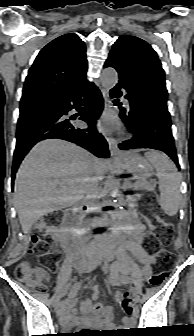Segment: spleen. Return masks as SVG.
<instances>
[{"label":"spleen","instance_id":"spleen-1","mask_svg":"<svg viewBox=\"0 0 194 336\" xmlns=\"http://www.w3.org/2000/svg\"><path fill=\"white\" fill-rule=\"evenodd\" d=\"M146 159L154 166L160 183V206L164 212L173 216L180 202V176L169 158L158 151L145 153Z\"/></svg>","mask_w":194,"mask_h":336}]
</instances>
